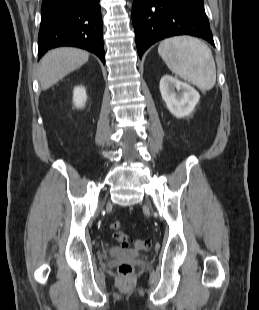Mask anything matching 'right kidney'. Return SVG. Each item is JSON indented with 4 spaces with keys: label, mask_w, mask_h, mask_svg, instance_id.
I'll return each instance as SVG.
<instances>
[{
    "label": "right kidney",
    "mask_w": 259,
    "mask_h": 310,
    "mask_svg": "<svg viewBox=\"0 0 259 310\" xmlns=\"http://www.w3.org/2000/svg\"><path fill=\"white\" fill-rule=\"evenodd\" d=\"M87 99L86 90L82 86H78L74 88L73 91V102L77 108H82L85 105Z\"/></svg>",
    "instance_id": "1"
}]
</instances>
